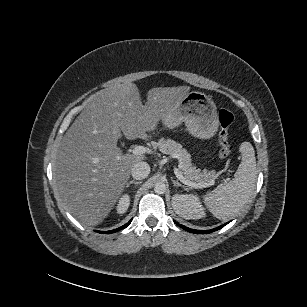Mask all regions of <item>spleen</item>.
I'll return each instance as SVG.
<instances>
[{
    "label": "spleen",
    "instance_id": "3e777b00",
    "mask_svg": "<svg viewBox=\"0 0 307 307\" xmlns=\"http://www.w3.org/2000/svg\"><path fill=\"white\" fill-rule=\"evenodd\" d=\"M242 160L232 179L216 187L206 196L213 214L226 219L239 211L254 192L257 177L255 151L251 143L244 141L239 146Z\"/></svg>",
    "mask_w": 307,
    "mask_h": 307
}]
</instances>
